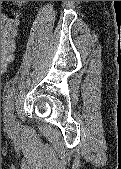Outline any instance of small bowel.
<instances>
[{
	"label": "small bowel",
	"mask_w": 121,
	"mask_h": 169,
	"mask_svg": "<svg viewBox=\"0 0 121 169\" xmlns=\"http://www.w3.org/2000/svg\"><path fill=\"white\" fill-rule=\"evenodd\" d=\"M19 2L25 3V2H27V1H19ZM5 71H6V68H5V69L1 68V72H5Z\"/></svg>",
	"instance_id": "obj_1"
}]
</instances>
